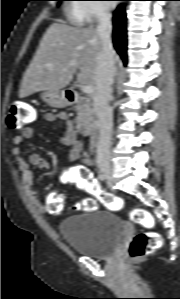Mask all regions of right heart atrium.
Returning a JSON list of instances; mask_svg holds the SVG:
<instances>
[{
  "instance_id": "d8ad5b80",
  "label": "right heart atrium",
  "mask_w": 180,
  "mask_h": 299,
  "mask_svg": "<svg viewBox=\"0 0 180 299\" xmlns=\"http://www.w3.org/2000/svg\"><path fill=\"white\" fill-rule=\"evenodd\" d=\"M86 20L93 22L105 18L108 15V8L101 0H92L82 8Z\"/></svg>"
}]
</instances>
